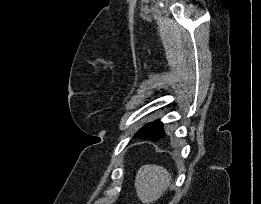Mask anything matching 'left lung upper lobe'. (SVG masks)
<instances>
[{
	"mask_svg": "<svg viewBox=\"0 0 261 204\" xmlns=\"http://www.w3.org/2000/svg\"><path fill=\"white\" fill-rule=\"evenodd\" d=\"M162 131H164L162 123L159 121H155L142 127L138 131L136 136L144 140H151L155 138L157 135H159Z\"/></svg>",
	"mask_w": 261,
	"mask_h": 204,
	"instance_id": "1",
	"label": "left lung upper lobe"
}]
</instances>
